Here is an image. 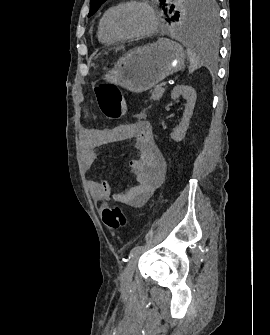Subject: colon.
Listing matches in <instances>:
<instances>
[{"label": "colon", "instance_id": "1", "mask_svg": "<svg viewBox=\"0 0 270 335\" xmlns=\"http://www.w3.org/2000/svg\"><path fill=\"white\" fill-rule=\"evenodd\" d=\"M93 93L101 113L108 120L120 119L128 109L124 96L113 85L102 83L93 87ZM103 223L113 231H122L127 226V217L117 204H106L102 211Z\"/></svg>", "mask_w": 270, "mask_h": 335}]
</instances>
